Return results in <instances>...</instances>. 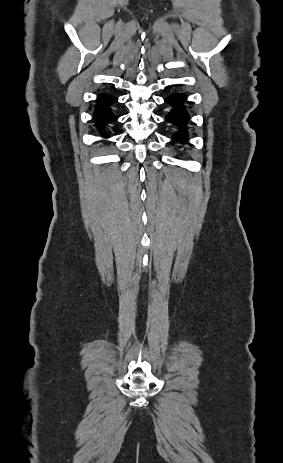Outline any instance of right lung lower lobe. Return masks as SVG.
Returning a JSON list of instances; mask_svg holds the SVG:
<instances>
[{"mask_svg":"<svg viewBox=\"0 0 283 463\" xmlns=\"http://www.w3.org/2000/svg\"><path fill=\"white\" fill-rule=\"evenodd\" d=\"M115 101H117L116 97L107 94H100L98 96L97 105L94 111V119L98 125L104 126L117 119V117L109 109L110 104Z\"/></svg>","mask_w":283,"mask_h":463,"instance_id":"right-lung-lower-lobe-1","label":"right lung lower lobe"}]
</instances>
